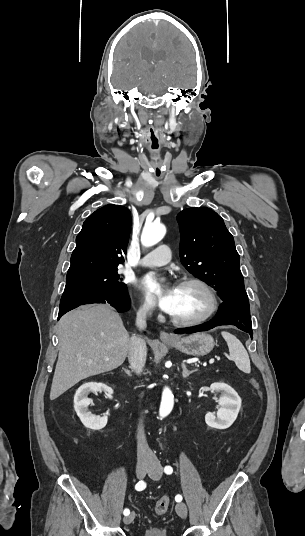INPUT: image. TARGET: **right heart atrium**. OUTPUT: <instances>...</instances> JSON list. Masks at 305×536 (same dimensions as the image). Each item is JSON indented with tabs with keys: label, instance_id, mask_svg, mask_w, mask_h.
<instances>
[{
	"label": "right heart atrium",
	"instance_id": "1",
	"mask_svg": "<svg viewBox=\"0 0 305 536\" xmlns=\"http://www.w3.org/2000/svg\"><path fill=\"white\" fill-rule=\"evenodd\" d=\"M152 311H153V304L149 301H144L138 309V313L141 316H147L151 314Z\"/></svg>",
	"mask_w": 305,
	"mask_h": 536
}]
</instances>
